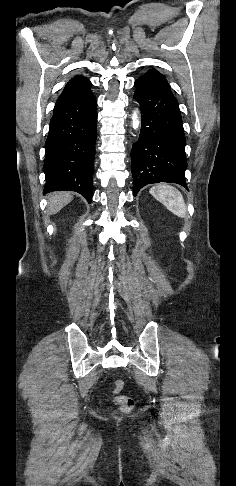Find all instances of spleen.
<instances>
[{
  "mask_svg": "<svg viewBox=\"0 0 236 486\" xmlns=\"http://www.w3.org/2000/svg\"><path fill=\"white\" fill-rule=\"evenodd\" d=\"M150 194L160 201L169 211L178 217H185L186 205L181 192L170 185H157L150 189Z\"/></svg>",
  "mask_w": 236,
  "mask_h": 486,
  "instance_id": "obj_1",
  "label": "spleen"
}]
</instances>
